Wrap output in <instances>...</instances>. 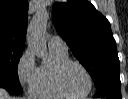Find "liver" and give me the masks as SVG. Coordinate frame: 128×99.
Segmentation results:
<instances>
[{
	"mask_svg": "<svg viewBox=\"0 0 128 99\" xmlns=\"http://www.w3.org/2000/svg\"><path fill=\"white\" fill-rule=\"evenodd\" d=\"M0 99H12V98L4 89L0 88Z\"/></svg>",
	"mask_w": 128,
	"mask_h": 99,
	"instance_id": "6515ba94",
	"label": "liver"
}]
</instances>
